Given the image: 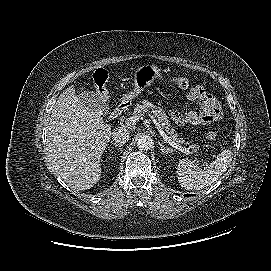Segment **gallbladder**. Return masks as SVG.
<instances>
[{
	"instance_id": "obj_1",
	"label": "gallbladder",
	"mask_w": 271,
	"mask_h": 271,
	"mask_svg": "<svg viewBox=\"0 0 271 271\" xmlns=\"http://www.w3.org/2000/svg\"><path fill=\"white\" fill-rule=\"evenodd\" d=\"M78 97L86 106L100 114H106L109 110V106L106 101L101 95L94 91H89L80 87Z\"/></svg>"
}]
</instances>
